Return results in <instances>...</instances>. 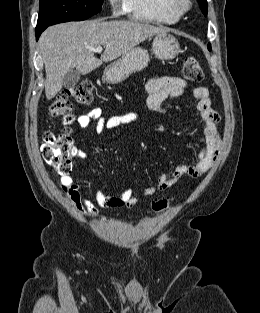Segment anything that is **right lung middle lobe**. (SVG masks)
Segmentation results:
<instances>
[{
    "mask_svg": "<svg viewBox=\"0 0 260 313\" xmlns=\"http://www.w3.org/2000/svg\"><path fill=\"white\" fill-rule=\"evenodd\" d=\"M103 0H40L37 26L85 20L100 12Z\"/></svg>",
    "mask_w": 260,
    "mask_h": 313,
    "instance_id": "obj_1",
    "label": "right lung middle lobe"
}]
</instances>
